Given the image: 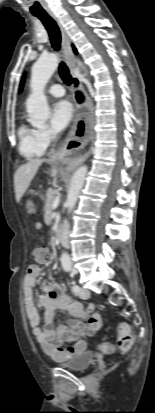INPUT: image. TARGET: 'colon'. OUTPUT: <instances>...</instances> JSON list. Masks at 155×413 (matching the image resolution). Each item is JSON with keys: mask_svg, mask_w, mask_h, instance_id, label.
<instances>
[{"mask_svg": "<svg viewBox=\"0 0 155 413\" xmlns=\"http://www.w3.org/2000/svg\"><path fill=\"white\" fill-rule=\"evenodd\" d=\"M33 198H34V195L32 193H29L27 195V199L25 200V203L27 205H31L33 203V200H32ZM37 228H39V225H37ZM47 256H48L47 250L43 247L36 248L33 251V258L38 262L46 261ZM118 331H119V338H118L119 348L123 351L130 350L133 346L134 339H133V335L130 331L129 326L125 323H122V324L119 325ZM101 348H102L103 352H111L112 351V348L109 345H102ZM49 351L53 352L55 355H57L59 357L61 352L71 351V348H68L66 350L50 348Z\"/></svg>", "mask_w": 155, "mask_h": 413, "instance_id": "obj_1", "label": "colon"}]
</instances>
